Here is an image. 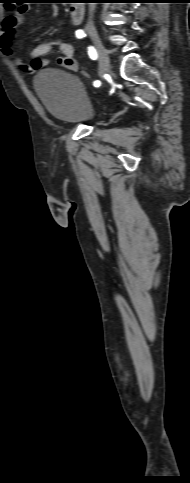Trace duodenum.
Instances as JSON below:
<instances>
[{"label": "duodenum", "instance_id": "duodenum-1", "mask_svg": "<svg viewBox=\"0 0 190 483\" xmlns=\"http://www.w3.org/2000/svg\"><path fill=\"white\" fill-rule=\"evenodd\" d=\"M84 1L83 0H74L70 7V16L71 20L74 24H78L84 18Z\"/></svg>", "mask_w": 190, "mask_h": 483}]
</instances>
